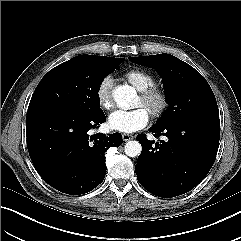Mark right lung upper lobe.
Wrapping results in <instances>:
<instances>
[{
  "instance_id": "1",
  "label": "right lung upper lobe",
  "mask_w": 241,
  "mask_h": 241,
  "mask_svg": "<svg viewBox=\"0 0 241 241\" xmlns=\"http://www.w3.org/2000/svg\"><path fill=\"white\" fill-rule=\"evenodd\" d=\"M98 57H104V58H106L105 56H98Z\"/></svg>"
}]
</instances>
